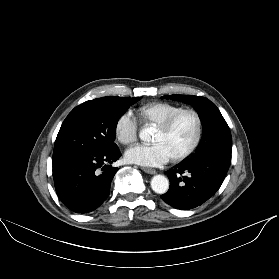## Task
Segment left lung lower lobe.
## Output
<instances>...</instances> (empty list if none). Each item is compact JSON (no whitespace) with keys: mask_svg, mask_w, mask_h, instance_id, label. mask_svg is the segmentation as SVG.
Here are the masks:
<instances>
[{"mask_svg":"<svg viewBox=\"0 0 279 279\" xmlns=\"http://www.w3.org/2000/svg\"><path fill=\"white\" fill-rule=\"evenodd\" d=\"M229 166V162L216 156L188 159L167 172L170 187L161 198L177 209L195 208L217 192Z\"/></svg>","mask_w":279,"mask_h":279,"instance_id":"obj_1","label":"left lung lower lobe"}]
</instances>
